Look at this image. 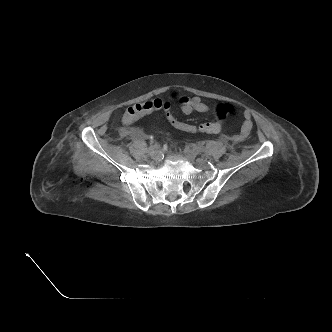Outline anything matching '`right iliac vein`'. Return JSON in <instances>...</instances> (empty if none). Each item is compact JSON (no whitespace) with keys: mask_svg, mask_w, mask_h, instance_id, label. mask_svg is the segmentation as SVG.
<instances>
[{"mask_svg":"<svg viewBox=\"0 0 332 332\" xmlns=\"http://www.w3.org/2000/svg\"><path fill=\"white\" fill-rule=\"evenodd\" d=\"M157 151H151L150 152V155L153 157V158H155L156 156H157Z\"/></svg>","mask_w":332,"mask_h":332,"instance_id":"63e3f726","label":"right iliac vein"}]
</instances>
